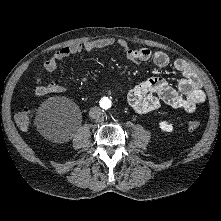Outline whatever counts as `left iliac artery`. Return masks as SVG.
<instances>
[{"mask_svg":"<svg viewBox=\"0 0 221 221\" xmlns=\"http://www.w3.org/2000/svg\"><path fill=\"white\" fill-rule=\"evenodd\" d=\"M109 107H111V105H108V107H107V108H109Z\"/></svg>","mask_w":221,"mask_h":221,"instance_id":"obj_1","label":"left iliac artery"}]
</instances>
